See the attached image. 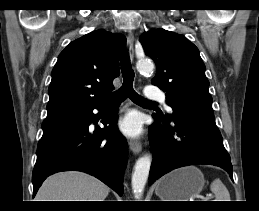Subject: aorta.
Here are the masks:
<instances>
[{
	"label": "aorta",
	"instance_id": "obj_1",
	"mask_svg": "<svg viewBox=\"0 0 259 211\" xmlns=\"http://www.w3.org/2000/svg\"><path fill=\"white\" fill-rule=\"evenodd\" d=\"M137 69L140 72H152L154 69L153 63L147 60H140L137 63ZM151 166V157L149 155H144L140 157L135 164L134 172L132 174V190L134 197L140 199L149 176Z\"/></svg>",
	"mask_w": 259,
	"mask_h": 211
}]
</instances>
